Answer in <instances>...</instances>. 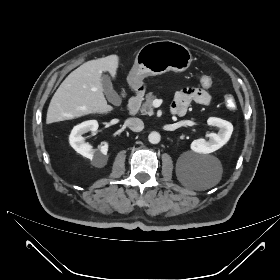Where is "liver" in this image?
Listing matches in <instances>:
<instances>
[{
	"label": "liver",
	"instance_id": "obj_1",
	"mask_svg": "<svg viewBox=\"0 0 280 280\" xmlns=\"http://www.w3.org/2000/svg\"><path fill=\"white\" fill-rule=\"evenodd\" d=\"M119 65L116 54L85 62L71 72L54 93L46 123L71 120L88 114H106L113 110L103 94L102 73L114 78Z\"/></svg>",
	"mask_w": 280,
	"mask_h": 280
}]
</instances>
